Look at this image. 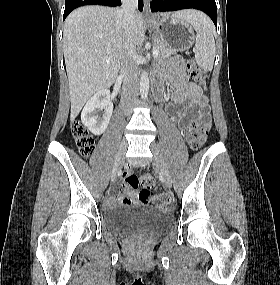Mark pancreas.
Here are the masks:
<instances>
[{"label":"pancreas","mask_w":280,"mask_h":285,"mask_svg":"<svg viewBox=\"0 0 280 285\" xmlns=\"http://www.w3.org/2000/svg\"><path fill=\"white\" fill-rule=\"evenodd\" d=\"M154 49H156L159 53L157 58H166L177 53L176 49L166 45L158 38L154 39Z\"/></svg>","instance_id":"pancreas-1"}]
</instances>
